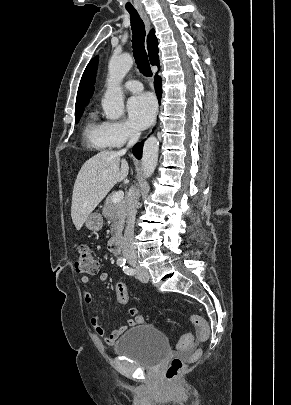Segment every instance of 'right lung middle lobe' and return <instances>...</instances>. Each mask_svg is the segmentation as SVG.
<instances>
[{
    "label": "right lung middle lobe",
    "instance_id": "obj_1",
    "mask_svg": "<svg viewBox=\"0 0 291 405\" xmlns=\"http://www.w3.org/2000/svg\"><path fill=\"white\" fill-rule=\"evenodd\" d=\"M83 111H84V108H80V109H76V110H75V122H76V123L79 122L80 117H81Z\"/></svg>",
    "mask_w": 291,
    "mask_h": 405
}]
</instances>
